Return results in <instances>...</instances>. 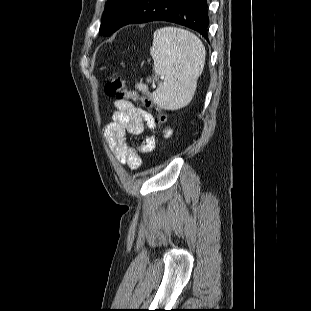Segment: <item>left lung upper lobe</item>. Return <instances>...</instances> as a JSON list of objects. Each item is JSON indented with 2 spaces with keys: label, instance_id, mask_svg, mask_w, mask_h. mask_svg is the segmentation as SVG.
Returning <instances> with one entry per match:
<instances>
[{
  "label": "left lung upper lobe",
  "instance_id": "left-lung-upper-lobe-1",
  "mask_svg": "<svg viewBox=\"0 0 311 311\" xmlns=\"http://www.w3.org/2000/svg\"><path fill=\"white\" fill-rule=\"evenodd\" d=\"M103 18L100 26V33L102 35H110L113 33L118 17L126 4L130 0H107Z\"/></svg>",
  "mask_w": 311,
  "mask_h": 311
}]
</instances>
